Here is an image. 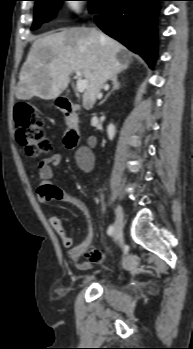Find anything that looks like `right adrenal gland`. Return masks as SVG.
Listing matches in <instances>:
<instances>
[{"instance_id": "2a0ac1e0", "label": "right adrenal gland", "mask_w": 193, "mask_h": 349, "mask_svg": "<svg viewBox=\"0 0 193 349\" xmlns=\"http://www.w3.org/2000/svg\"><path fill=\"white\" fill-rule=\"evenodd\" d=\"M112 85H113V87H112L111 91H109V92L107 93V95H106L105 98L100 102V104L104 103L113 91L118 90V89L121 87L120 83L118 82L117 76H114V77L112 78Z\"/></svg>"}]
</instances>
